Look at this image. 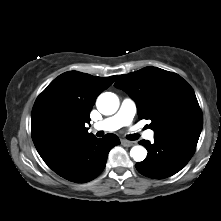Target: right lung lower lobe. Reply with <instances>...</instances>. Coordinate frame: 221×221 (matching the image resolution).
<instances>
[{
	"instance_id": "right-lung-lower-lobe-1",
	"label": "right lung lower lobe",
	"mask_w": 221,
	"mask_h": 221,
	"mask_svg": "<svg viewBox=\"0 0 221 221\" xmlns=\"http://www.w3.org/2000/svg\"><path fill=\"white\" fill-rule=\"evenodd\" d=\"M119 144L120 140L114 134H107L102 139L91 136L55 147L40 156L61 177L85 183L103 171L109 151Z\"/></svg>"
}]
</instances>
